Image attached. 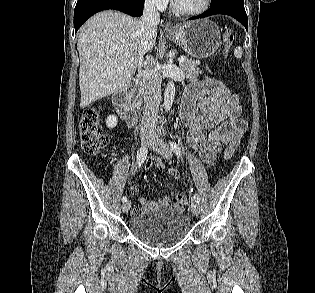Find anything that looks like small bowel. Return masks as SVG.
Instances as JSON below:
<instances>
[{
    "label": "small bowel",
    "mask_w": 315,
    "mask_h": 293,
    "mask_svg": "<svg viewBox=\"0 0 315 293\" xmlns=\"http://www.w3.org/2000/svg\"><path fill=\"white\" fill-rule=\"evenodd\" d=\"M199 107L201 113H196ZM241 106L238 97L229 92L220 81L204 77L191 84L186 90L181 107V122L187 128V141L200 157L207 163L215 160L222 144L232 146L239 144L247 130V122L241 118ZM147 166L163 167L158 157H152ZM173 177H179L176 170L171 169ZM170 198L149 200L142 197L137 214L156 206L168 207Z\"/></svg>",
    "instance_id": "obj_1"
}]
</instances>
